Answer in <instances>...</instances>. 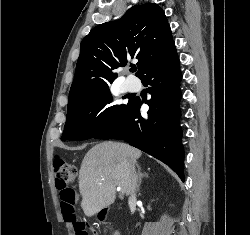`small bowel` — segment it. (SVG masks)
I'll return each instance as SVG.
<instances>
[{
    "mask_svg": "<svg viewBox=\"0 0 250 235\" xmlns=\"http://www.w3.org/2000/svg\"><path fill=\"white\" fill-rule=\"evenodd\" d=\"M93 235H97V233H96V232H93ZM113 235H115V234H113Z\"/></svg>",
    "mask_w": 250,
    "mask_h": 235,
    "instance_id": "1",
    "label": "small bowel"
}]
</instances>
